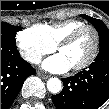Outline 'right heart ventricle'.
Returning a JSON list of instances; mask_svg holds the SVG:
<instances>
[{"label": "right heart ventricle", "instance_id": "e07e8e85", "mask_svg": "<svg viewBox=\"0 0 109 109\" xmlns=\"http://www.w3.org/2000/svg\"><path fill=\"white\" fill-rule=\"evenodd\" d=\"M84 25H86V23L81 20L71 19L53 24H45L42 25L41 28L56 46L70 33Z\"/></svg>", "mask_w": 109, "mask_h": 109}]
</instances>
